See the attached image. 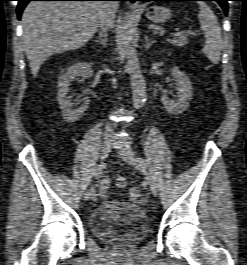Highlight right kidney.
<instances>
[{"label":"right kidney","instance_id":"1","mask_svg":"<svg viewBox=\"0 0 247 265\" xmlns=\"http://www.w3.org/2000/svg\"><path fill=\"white\" fill-rule=\"evenodd\" d=\"M93 75V69L91 65L87 62H77L67 69L64 75L58 81V94L57 100L59 107L62 111L63 119L66 122H75L84 114L89 106V100L84 101V103L74 108L73 104L70 102L67 94L69 92V86L71 81L75 77L90 78Z\"/></svg>","mask_w":247,"mask_h":265}]
</instances>
